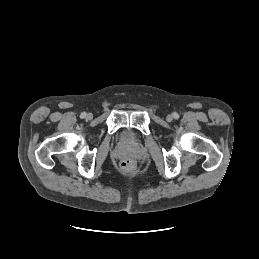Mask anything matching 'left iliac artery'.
Instances as JSON below:
<instances>
[{
  "instance_id": "44dca946",
  "label": "left iliac artery",
  "mask_w": 259,
  "mask_h": 259,
  "mask_svg": "<svg viewBox=\"0 0 259 259\" xmlns=\"http://www.w3.org/2000/svg\"><path fill=\"white\" fill-rule=\"evenodd\" d=\"M173 117H174L175 119H178V118H179L178 113L174 112V113H173Z\"/></svg>"
}]
</instances>
